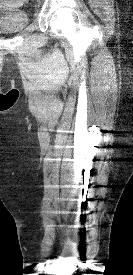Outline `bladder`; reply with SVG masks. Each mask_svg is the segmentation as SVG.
I'll return each mask as SVG.
<instances>
[{
	"mask_svg": "<svg viewBox=\"0 0 133 275\" xmlns=\"http://www.w3.org/2000/svg\"><path fill=\"white\" fill-rule=\"evenodd\" d=\"M29 24V14L21 7L0 4V32H18Z\"/></svg>",
	"mask_w": 133,
	"mask_h": 275,
	"instance_id": "31cf9c89",
	"label": "bladder"
}]
</instances>
